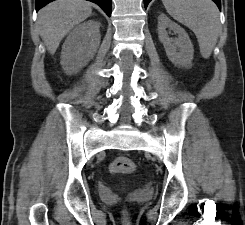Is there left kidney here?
Segmentation results:
<instances>
[{
  "label": "left kidney",
  "mask_w": 245,
  "mask_h": 225,
  "mask_svg": "<svg viewBox=\"0 0 245 225\" xmlns=\"http://www.w3.org/2000/svg\"><path fill=\"white\" fill-rule=\"evenodd\" d=\"M172 30L178 38H170L166 29ZM158 36L163 44L168 59L175 65L191 66L194 49L186 31L177 23L170 20L165 14L158 16Z\"/></svg>",
  "instance_id": "1"
}]
</instances>
